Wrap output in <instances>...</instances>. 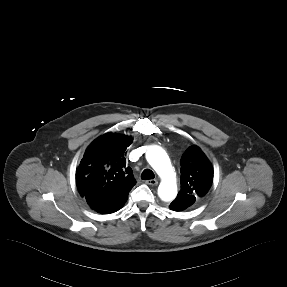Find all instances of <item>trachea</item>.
<instances>
[{
  "instance_id": "3493384b",
  "label": "trachea",
  "mask_w": 287,
  "mask_h": 287,
  "mask_svg": "<svg viewBox=\"0 0 287 287\" xmlns=\"http://www.w3.org/2000/svg\"><path fill=\"white\" fill-rule=\"evenodd\" d=\"M155 175L152 170L145 169L141 174V179L143 180H151L154 179Z\"/></svg>"
}]
</instances>
